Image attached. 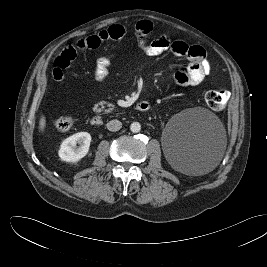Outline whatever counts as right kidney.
<instances>
[{
  "label": "right kidney",
  "mask_w": 267,
  "mask_h": 267,
  "mask_svg": "<svg viewBox=\"0 0 267 267\" xmlns=\"http://www.w3.org/2000/svg\"><path fill=\"white\" fill-rule=\"evenodd\" d=\"M79 147H76V144ZM91 135L87 132H78L66 138L60 145L58 155L66 162H78L85 157L89 151Z\"/></svg>",
  "instance_id": "right-kidney-1"
}]
</instances>
